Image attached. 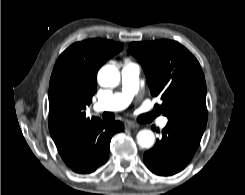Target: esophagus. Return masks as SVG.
<instances>
[{"label":"esophagus","instance_id":"obj_1","mask_svg":"<svg viewBox=\"0 0 245 195\" xmlns=\"http://www.w3.org/2000/svg\"><path fill=\"white\" fill-rule=\"evenodd\" d=\"M126 127L129 129H138L139 128V124L134 123V122H127L126 123Z\"/></svg>","mask_w":245,"mask_h":195}]
</instances>
